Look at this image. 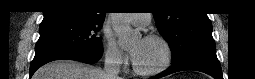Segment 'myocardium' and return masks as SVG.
<instances>
[{
    "label": "myocardium",
    "instance_id": "obj_1",
    "mask_svg": "<svg viewBox=\"0 0 255 79\" xmlns=\"http://www.w3.org/2000/svg\"><path fill=\"white\" fill-rule=\"evenodd\" d=\"M144 40L159 42L164 50V58L160 65L154 69H141L137 66V64L133 60L132 67L134 72L143 76L156 75L163 72L166 68H168L172 60V49L170 44L164 37L156 34L147 35L146 37H144Z\"/></svg>",
    "mask_w": 255,
    "mask_h": 79
}]
</instances>
